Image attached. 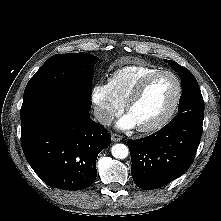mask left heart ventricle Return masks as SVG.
<instances>
[{
	"label": "left heart ventricle",
	"instance_id": "1",
	"mask_svg": "<svg viewBox=\"0 0 221 221\" xmlns=\"http://www.w3.org/2000/svg\"><path fill=\"white\" fill-rule=\"evenodd\" d=\"M176 94V82L169 75L152 79L128 114L136 126L149 125L161 118L171 106Z\"/></svg>",
	"mask_w": 221,
	"mask_h": 221
}]
</instances>
